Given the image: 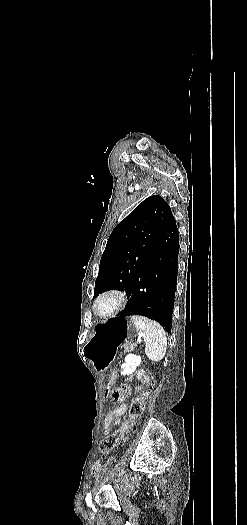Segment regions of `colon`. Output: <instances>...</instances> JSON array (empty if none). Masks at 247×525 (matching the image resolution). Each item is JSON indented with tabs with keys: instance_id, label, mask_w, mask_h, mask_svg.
Listing matches in <instances>:
<instances>
[{
	"instance_id": "colon-1",
	"label": "colon",
	"mask_w": 247,
	"mask_h": 525,
	"mask_svg": "<svg viewBox=\"0 0 247 525\" xmlns=\"http://www.w3.org/2000/svg\"><path fill=\"white\" fill-rule=\"evenodd\" d=\"M118 377V372L116 370H111L109 372V376L107 377V384L104 386V395L106 397H109L111 395V392L113 391V386L111 384H114L116 382V378ZM145 405V394L141 393L139 394L135 400L132 403L128 419L122 423L120 428L116 429L112 434L107 436L102 442H101V452L104 456H106L110 451H112L114 448L119 446L123 441L126 433L130 431L133 421L137 419Z\"/></svg>"
}]
</instances>
